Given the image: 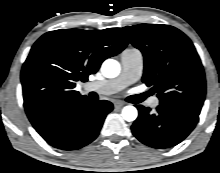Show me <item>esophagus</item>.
<instances>
[{"mask_svg":"<svg viewBox=\"0 0 220 173\" xmlns=\"http://www.w3.org/2000/svg\"><path fill=\"white\" fill-rule=\"evenodd\" d=\"M126 103L125 102H123V101H121V100H116L115 102H114V106H115V108H117V109H120L122 106H124Z\"/></svg>","mask_w":220,"mask_h":173,"instance_id":"34e87169","label":"esophagus"}]
</instances>
